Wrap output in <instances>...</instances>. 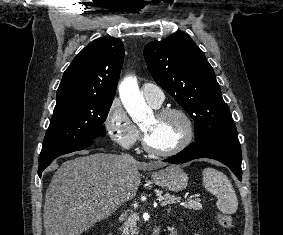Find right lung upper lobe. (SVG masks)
I'll return each instance as SVG.
<instances>
[{
  "label": "right lung upper lobe",
  "instance_id": "right-lung-upper-lobe-1",
  "mask_svg": "<svg viewBox=\"0 0 283 235\" xmlns=\"http://www.w3.org/2000/svg\"><path fill=\"white\" fill-rule=\"evenodd\" d=\"M124 59L123 43L102 37L83 48L63 74L57 102L87 97L113 99Z\"/></svg>",
  "mask_w": 283,
  "mask_h": 235
}]
</instances>
